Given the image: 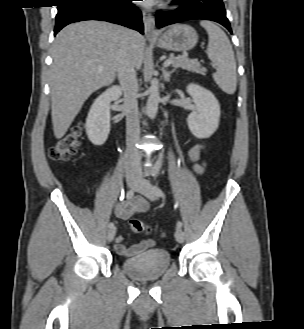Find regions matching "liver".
Masks as SVG:
<instances>
[{"label": "liver", "mask_w": 304, "mask_h": 329, "mask_svg": "<svg viewBox=\"0 0 304 329\" xmlns=\"http://www.w3.org/2000/svg\"><path fill=\"white\" fill-rule=\"evenodd\" d=\"M124 31L134 65L140 69L145 41L136 31L107 22L82 21L57 34L50 70L51 116L57 139L66 134L88 97L114 81Z\"/></svg>", "instance_id": "liver-1"}]
</instances>
